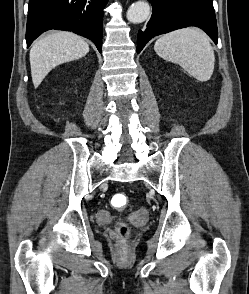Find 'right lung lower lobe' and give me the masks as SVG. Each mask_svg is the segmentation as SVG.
I'll list each match as a JSON object with an SVG mask.
<instances>
[{
	"instance_id": "1",
	"label": "right lung lower lobe",
	"mask_w": 249,
	"mask_h": 294,
	"mask_svg": "<svg viewBox=\"0 0 249 294\" xmlns=\"http://www.w3.org/2000/svg\"><path fill=\"white\" fill-rule=\"evenodd\" d=\"M108 0H29L27 47L44 31H72L102 49L103 9Z\"/></svg>"
}]
</instances>
